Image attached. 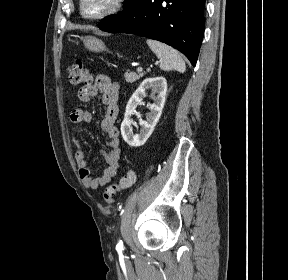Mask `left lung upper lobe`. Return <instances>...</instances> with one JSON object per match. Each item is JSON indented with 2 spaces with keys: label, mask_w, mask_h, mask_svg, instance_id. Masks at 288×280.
Returning <instances> with one entry per match:
<instances>
[{
  "label": "left lung upper lobe",
  "mask_w": 288,
  "mask_h": 280,
  "mask_svg": "<svg viewBox=\"0 0 288 280\" xmlns=\"http://www.w3.org/2000/svg\"><path fill=\"white\" fill-rule=\"evenodd\" d=\"M135 0H125V2L123 3V8H127L129 7L130 5H132V3L134 2Z\"/></svg>",
  "instance_id": "5c2ea615"
}]
</instances>
